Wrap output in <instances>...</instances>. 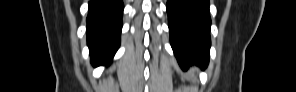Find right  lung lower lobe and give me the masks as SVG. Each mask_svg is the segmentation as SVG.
<instances>
[{
  "label": "right lung lower lobe",
  "mask_w": 296,
  "mask_h": 92,
  "mask_svg": "<svg viewBox=\"0 0 296 92\" xmlns=\"http://www.w3.org/2000/svg\"><path fill=\"white\" fill-rule=\"evenodd\" d=\"M122 0H90L87 22V44L95 64H107L120 45Z\"/></svg>",
  "instance_id": "right-lung-lower-lobe-1"
}]
</instances>
